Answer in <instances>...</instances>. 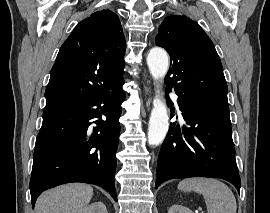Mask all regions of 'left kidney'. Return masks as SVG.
Returning a JSON list of instances; mask_svg holds the SVG:
<instances>
[{"instance_id": "obj_1", "label": "left kidney", "mask_w": 270, "mask_h": 213, "mask_svg": "<svg viewBox=\"0 0 270 213\" xmlns=\"http://www.w3.org/2000/svg\"><path fill=\"white\" fill-rule=\"evenodd\" d=\"M168 213H193V212L185 206L174 204L169 208Z\"/></svg>"}]
</instances>
